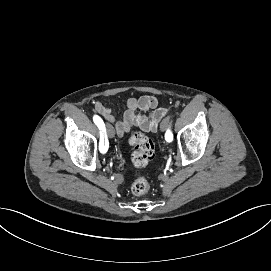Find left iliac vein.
Instances as JSON below:
<instances>
[{
    "mask_svg": "<svg viewBox=\"0 0 271 271\" xmlns=\"http://www.w3.org/2000/svg\"><path fill=\"white\" fill-rule=\"evenodd\" d=\"M167 119H163L162 121H161V123H160V128H161V130H165L166 128H167Z\"/></svg>",
    "mask_w": 271,
    "mask_h": 271,
    "instance_id": "4c4485c4",
    "label": "left iliac vein"
}]
</instances>
